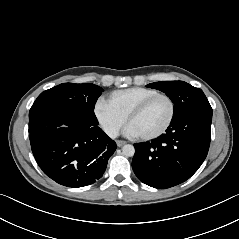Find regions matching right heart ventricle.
<instances>
[{
  "mask_svg": "<svg viewBox=\"0 0 239 239\" xmlns=\"http://www.w3.org/2000/svg\"><path fill=\"white\" fill-rule=\"evenodd\" d=\"M159 93L156 89L146 87H131L115 90L106 97V102L127 117L128 113L147 97Z\"/></svg>",
  "mask_w": 239,
  "mask_h": 239,
  "instance_id": "e07e8e85",
  "label": "right heart ventricle"
}]
</instances>
